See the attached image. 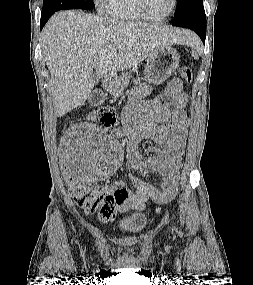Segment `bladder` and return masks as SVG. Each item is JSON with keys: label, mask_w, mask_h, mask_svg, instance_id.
Instances as JSON below:
<instances>
[{"label": "bladder", "mask_w": 253, "mask_h": 285, "mask_svg": "<svg viewBox=\"0 0 253 285\" xmlns=\"http://www.w3.org/2000/svg\"><path fill=\"white\" fill-rule=\"evenodd\" d=\"M148 215L141 211H131L124 214L116 223L115 231L125 237L140 235L147 228Z\"/></svg>", "instance_id": "bladder-1"}]
</instances>
